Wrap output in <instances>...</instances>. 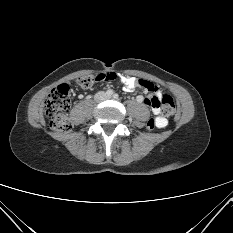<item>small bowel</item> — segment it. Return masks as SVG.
Wrapping results in <instances>:
<instances>
[{"label": "small bowel", "instance_id": "obj_1", "mask_svg": "<svg viewBox=\"0 0 233 233\" xmlns=\"http://www.w3.org/2000/svg\"><path fill=\"white\" fill-rule=\"evenodd\" d=\"M95 79L98 82L106 81V80L111 81V82H122L124 84V90L127 92L132 91L137 87L142 88L140 86V83H139L141 79H138L135 77H130V76H123L121 73L102 72V73H98L95 76ZM142 89L145 93H149L146 89H144V88H142ZM153 94L159 100L162 97V94H161L160 90H158V89ZM151 98L152 97L144 98L142 95H139V96H137V101L140 103H145L146 105L152 106L150 103ZM152 110H153V113L156 115V118H155L156 127L157 128H164L167 125L168 121H167L166 117L161 113L160 107L159 106H152Z\"/></svg>", "mask_w": 233, "mask_h": 233}]
</instances>
